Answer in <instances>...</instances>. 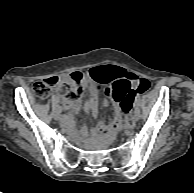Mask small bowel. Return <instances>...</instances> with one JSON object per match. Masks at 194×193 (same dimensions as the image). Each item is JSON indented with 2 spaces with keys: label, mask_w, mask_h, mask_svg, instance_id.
<instances>
[{
  "label": "small bowel",
  "mask_w": 194,
  "mask_h": 193,
  "mask_svg": "<svg viewBox=\"0 0 194 193\" xmlns=\"http://www.w3.org/2000/svg\"><path fill=\"white\" fill-rule=\"evenodd\" d=\"M126 75L125 72L117 67H96L92 68L86 74L83 80V87L86 89L87 97L84 102V110L88 113H91L96 119L98 118V96L97 89L100 84H110L116 80L120 75ZM135 82V80H134ZM57 94L64 95L61 88L57 89ZM104 106H108V102L104 101ZM64 106L69 111V114L72 116L76 114L80 108L79 101H73L65 99ZM122 125V109L116 107L115 110V119L111 124H105L102 121H98L97 124L93 127V132L97 135L99 143H109L116 131ZM65 127L69 131H74L75 125L73 122H65ZM88 132V129L84 127L80 133H76L75 137L81 140Z\"/></svg>",
  "instance_id": "obj_1"
}]
</instances>
